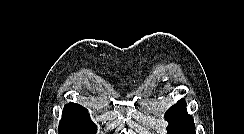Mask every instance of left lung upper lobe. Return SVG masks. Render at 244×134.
I'll list each match as a JSON object with an SVG mask.
<instances>
[{
	"label": "left lung upper lobe",
	"mask_w": 244,
	"mask_h": 134,
	"mask_svg": "<svg viewBox=\"0 0 244 134\" xmlns=\"http://www.w3.org/2000/svg\"><path fill=\"white\" fill-rule=\"evenodd\" d=\"M164 118L169 122L168 134H195L193 117L188 115L184 99L171 106Z\"/></svg>",
	"instance_id": "left-lung-upper-lobe-1"
}]
</instances>
